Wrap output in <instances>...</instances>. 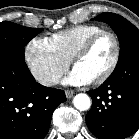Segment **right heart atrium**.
Returning a JSON list of instances; mask_svg holds the SVG:
<instances>
[{"label":"right heart atrium","mask_w":139,"mask_h":139,"mask_svg":"<svg viewBox=\"0 0 139 139\" xmlns=\"http://www.w3.org/2000/svg\"><path fill=\"white\" fill-rule=\"evenodd\" d=\"M24 58L31 74L45 86L53 85L70 63L53 48L47 38L32 39L25 48Z\"/></svg>","instance_id":"d8ad5b80"}]
</instances>
